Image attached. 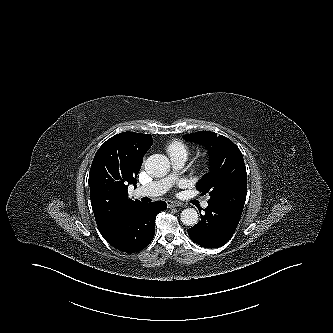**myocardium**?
Segmentation results:
<instances>
[{"instance_id": "f54148a6", "label": "myocardium", "mask_w": 333, "mask_h": 333, "mask_svg": "<svg viewBox=\"0 0 333 333\" xmlns=\"http://www.w3.org/2000/svg\"><path fill=\"white\" fill-rule=\"evenodd\" d=\"M207 166V160L205 158H202L197 163V168L204 169Z\"/></svg>"}]
</instances>
